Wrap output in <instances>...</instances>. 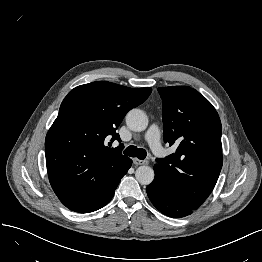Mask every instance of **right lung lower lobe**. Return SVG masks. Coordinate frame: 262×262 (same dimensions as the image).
Masks as SVG:
<instances>
[{"label": "right lung lower lobe", "instance_id": "obj_1", "mask_svg": "<svg viewBox=\"0 0 262 262\" xmlns=\"http://www.w3.org/2000/svg\"><path fill=\"white\" fill-rule=\"evenodd\" d=\"M132 164L131 159L127 162L124 167L121 178L126 174ZM121 180V179H120ZM120 182V181H119ZM119 184V183H118ZM117 184V186H118ZM116 186V187H117ZM116 187L105 197L96 200H84V201H72V200H61V202L70 210L79 213H89L98 210L105 206L113 197Z\"/></svg>", "mask_w": 262, "mask_h": 262}]
</instances>
